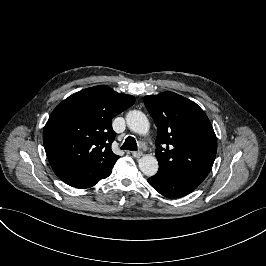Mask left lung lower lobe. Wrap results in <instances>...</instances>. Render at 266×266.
Instances as JSON below:
<instances>
[{
	"instance_id": "obj_1",
	"label": "left lung lower lobe",
	"mask_w": 266,
	"mask_h": 266,
	"mask_svg": "<svg viewBox=\"0 0 266 266\" xmlns=\"http://www.w3.org/2000/svg\"><path fill=\"white\" fill-rule=\"evenodd\" d=\"M148 183L156 191L168 198L185 196L199 185L196 182L161 168H159L156 175L148 179Z\"/></svg>"
}]
</instances>
